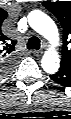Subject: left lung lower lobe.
Segmentation results:
<instances>
[{"instance_id": "obj_1", "label": "left lung lower lobe", "mask_w": 71, "mask_h": 119, "mask_svg": "<svg viewBox=\"0 0 71 119\" xmlns=\"http://www.w3.org/2000/svg\"><path fill=\"white\" fill-rule=\"evenodd\" d=\"M50 77L53 81L64 87L71 86V68L61 66L59 71L50 75Z\"/></svg>"}]
</instances>
